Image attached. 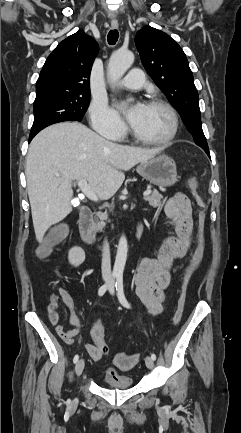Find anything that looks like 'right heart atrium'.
Here are the masks:
<instances>
[{
    "instance_id": "obj_1",
    "label": "right heart atrium",
    "mask_w": 241,
    "mask_h": 433,
    "mask_svg": "<svg viewBox=\"0 0 241 433\" xmlns=\"http://www.w3.org/2000/svg\"><path fill=\"white\" fill-rule=\"evenodd\" d=\"M90 122L97 133L112 140H120L126 131L123 120L104 100L92 102Z\"/></svg>"
}]
</instances>
